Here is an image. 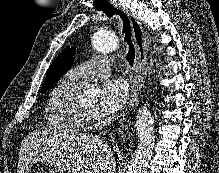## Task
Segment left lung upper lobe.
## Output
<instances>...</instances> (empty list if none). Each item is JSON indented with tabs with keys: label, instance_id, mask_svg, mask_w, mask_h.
I'll list each match as a JSON object with an SVG mask.
<instances>
[{
	"label": "left lung upper lobe",
	"instance_id": "1",
	"mask_svg": "<svg viewBox=\"0 0 219 173\" xmlns=\"http://www.w3.org/2000/svg\"><path fill=\"white\" fill-rule=\"evenodd\" d=\"M75 48L67 49L57 56V58L50 65L41 92L47 91L51 88L58 79L66 73L73 65V55Z\"/></svg>",
	"mask_w": 219,
	"mask_h": 173
}]
</instances>
